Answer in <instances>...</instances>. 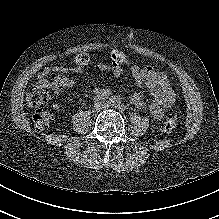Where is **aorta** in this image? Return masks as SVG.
<instances>
[{"mask_svg": "<svg viewBox=\"0 0 219 219\" xmlns=\"http://www.w3.org/2000/svg\"><path fill=\"white\" fill-rule=\"evenodd\" d=\"M109 103H110L111 106L117 108L121 104V98L119 96H112L109 99Z\"/></svg>", "mask_w": 219, "mask_h": 219, "instance_id": "obj_1", "label": "aorta"}]
</instances>
